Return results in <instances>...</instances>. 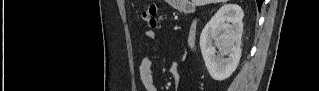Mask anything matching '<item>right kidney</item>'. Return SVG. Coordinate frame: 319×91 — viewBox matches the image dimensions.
<instances>
[{
	"label": "right kidney",
	"mask_w": 319,
	"mask_h": 91,
	"mask_svg": "<svg viewBox=\"0 0 319 91\" xmlns=\"http://www.w3.org/2000/svg\"><path fill=\"white\" fill-rule=\"evenodd\" d=\"M244 13L236 4L222 6L206 24L200 36V48L210 76L217 81L230 77L241 58V36ZM213 41L222 55H215Z\"/></svg>",
	"instance_id": "1"
}]
</instances>
